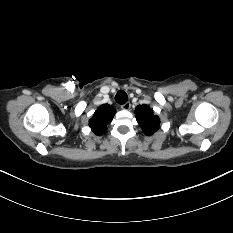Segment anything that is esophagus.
<instances>
[{"instance_id":"obj_1","label":"esophagus","mask_w":233,"mask_h":233,"mask_svg":"<svg viewBox=\"0 0 233 233\" xmlns=\"http://www.w3.org/2000/svg\"><path fill=\"white\" fill-rule=\"evenodd\" d=\"M130 107H131L130 102H126L125 104L121 105V108H122L123 110H129Z\"/></svg>"}]
</instances>
